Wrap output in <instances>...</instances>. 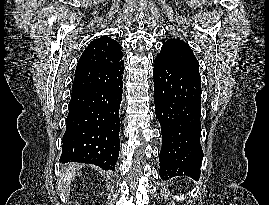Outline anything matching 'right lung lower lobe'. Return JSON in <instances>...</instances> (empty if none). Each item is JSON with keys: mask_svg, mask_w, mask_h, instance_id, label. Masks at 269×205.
<instances>
[{"mask_svg": "<svg viewBox=\"0 0 269 205\" xmlns=\"http://www.w3.org/2000/svg\"><path fill=\"white\" fill-rule=\"evenodd\" d=\"M122 79L110 86L72 91L60 162L114 170L120 150Z\"/></svg>", "mask_w": 269, "mask_h": 205, "instance_id": "98d812e1", "label": "right lung lower lobe"}]
</instances>
